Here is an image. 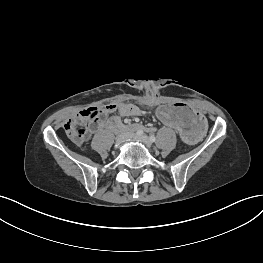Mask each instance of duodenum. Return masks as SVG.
<instances>
[{"mask_svg": "<svg viewBox=\"0 0 263 263\" xmlns=\"http://www.w3.org/2000/svg\"><path fill=\"white\" fill-rule=\"evenodd\" d=\"M107 127L109 129H119L122 132H129V131H136V130L145 129L142 125H139V124L123 125L116 118L109 120V122L107 123Z\"/></svg>", "mask_w": 263, "mask_h": 263, "instance_id": "duodenum-1", "label": "duodenum"}]
</instances>
